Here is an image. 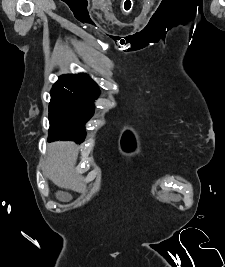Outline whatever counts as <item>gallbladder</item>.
Listing matches in <instances>:
<instances>
[{
	"label": "gallbladder",
	"mask_w": 225,
	"mask_h": 267,
	"mask_svg": "<svg viewBox=\"0 0 225 267\" xmlns=\"http://www.w3.org/2000/svg\"><path fill=\"white\" fill-rule=\"evenodd\" d=\"M56 196L59 200L65 201V202L71 200V198H72L71 195H69L65 192H61V191L57 192Z\"/></svg>",
	"instance_id": "obj_1"
}]
</instances>
